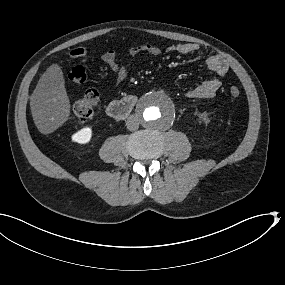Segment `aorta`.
I'll use <instances>...</instances> for the list:
<instances>
[{
  "label": "aorta",
  "instance_id": "1",
  "mask_svg": "<svg viewBox=\"0 0 285 285\" xmlns=\"http://www.w3.org/2000/svg\"><path fill=\"white\" fill-rule=\"evenodd\" d=\"M136 113L140 123L144 127L159 131L169 127L173 123L177 108L173 98L169 94L154 90L144 94L140 98Z\"/></svg>",
  "mask_w": 285,
  "mask_h": 285
}]
</instances>
